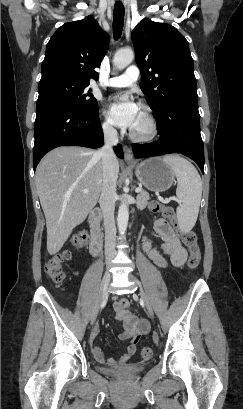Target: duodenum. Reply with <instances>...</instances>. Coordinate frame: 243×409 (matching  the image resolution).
Wrapping results in <instances>:
<instances>
[{
	"mask_svg": "<svg viewBox=\"0 0 243 409\" xmlns=\"http://www.w3.org/2000/svg\"><path fill=\"white\" fill-rule=\"evenodd\" d=\"M101 217L102 214L100 210L93 209L87 219L90 227L89 250L93 256H98L102 249V231L100 227Z\"/></svg>",
	"mask_w": 243,
	"mask_h": 409,
	"instance_id": "1",
	"label": "duodenum"
}]
</instances>
